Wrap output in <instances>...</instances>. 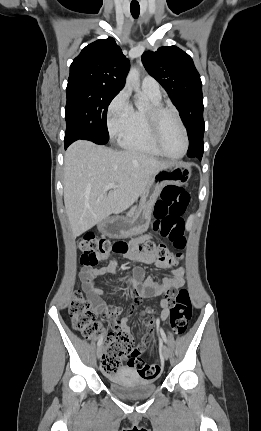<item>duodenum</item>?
<instances>
[{
	"mask_svg": "<svg viewBox=\"0 0 261 431\" xmlns=\"http://www.w3.org/2000/svg\"><path fill=\"white\" fill-rule=\"evenodd\" d=\"M102 225H103V227H105L107 230H111V227H110V221H106V222L102 223Z\"/></svg>",
	"mask_w": 261,
	"mask_h": 431,
	"instance_id": "duodenum-1",
	"label": "duodenum"
}]
</instances>
